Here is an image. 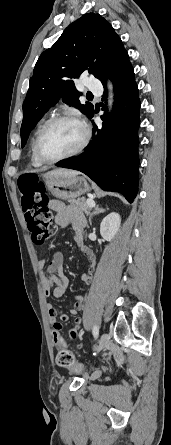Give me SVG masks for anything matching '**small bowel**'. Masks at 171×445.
Returning a JSON list of instances; mask_svg holds the SVG:
<instances>
[{"label":"small bowel","mask_w":171,"mask_h":445,"mask_svg":"<svg viewBox=\"0 0 171 445\" xmlns=\"http://www.w3.org/2000/svg\"><path fill=\"white\" fill-rule=\"evenodd\" d=\"M49 207L54 211V221L57 226L65 227L71 224L75 240L86 257L89 268L92 269L95 265V256L85 244L84 230L86 227V220L83 214L77 209L68 207L59 200H51L49 202ZM63 261L64 257L62 252L57 251L53 254L49 262L46 260H40L38 262V268L41 273V286L46 297L53 295L55 298H61L67 291L68 280L62 273ZM81 279L86 284H89L92 281V277L89 273H83ZM74 298L75 302L70 309L72 315H76L84 307L83 297L75 296ZM47 313L53 328L52 336L54 342L56 344L63 342L64 338L59 331L62 327L61 322L67 321L68 316L64 313H60L52 304H47ZM81 325L82 320L76 318L74 326L68 330V335L71 339L78 338ZM77 347L81 348L82 344L78 343Z\"/></svg>","instance_id":"c3829d8e"}]
</instances>
